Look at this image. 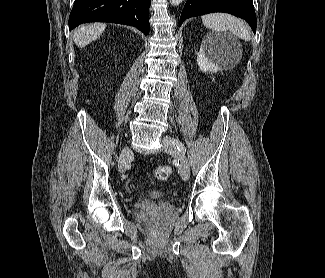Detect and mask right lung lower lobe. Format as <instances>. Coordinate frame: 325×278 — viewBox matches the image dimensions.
Returning a JSON list of instances; mask_svg holds the SVG:
<instances>
[{
    "mask_svg": "<svg viewBox=\"0 0 325 278\" xmlns=\"http://www.w3.org/2000/svg\"><path fill=\"white\" fill-rule=\"evenodd\" d=\"M151 0H75L69 16V29L87 22L131 25L149 34Z\"/></svg>",
    "mask_w": 325,
    "mask_h": 278,
    "instance_id": "right-lung-lower-lobe-1",
    "label": "right lung lower lobe"
}]
</instances>
